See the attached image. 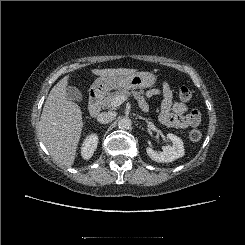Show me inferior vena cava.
I'll return each instance as SVG.
<instances>
[{"instance_id": "inferior-vena-cava-1", "label": "inferior vena cava", "mask_w": 245, "mask_h": 245, "mask_svg": "<svg viewBox=\"0 0 245 245\" xmlns=\"http://www.w3.org/2000/svg\"><path fill=\"white\" fill-rule=\"evenodd\" d=\"M116 114L113 112H102L98 115L97 120L99 123L107 124L114 120Z\"/></svg>"}]
</instances>
